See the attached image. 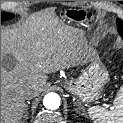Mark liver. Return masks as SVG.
I'll list each match as a JSON object with an SVG mask.
<instances>
[{
  "mask_svg": "<svg viewBox=\"0 0 123 123\" xmlns=\"http://www.w3.org/2000/svg\"><path fill=\"white\" fill-rule=\"evenodd\" d=\"M64 22L49 11L11 29L1 28V123L22 122L25 88L32 86L38 96L47 74L81 63L82 45Z\"/></svg>",
  "mask_w": 123,
  "mask_h": 123,
  "instance_id": "1",
  "label": "liver"
}]
</instances>
